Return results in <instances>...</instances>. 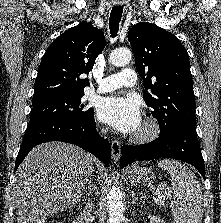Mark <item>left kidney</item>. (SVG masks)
I'll return each mask as SVG.
<instances>
[{
	"label": "left kidney",
	"instance_id": "obj_1",
	"mask_svg": "<svg viewBox=\"0 0 221 223\" xmlns=\"http://www.w3.org/2000/svg\"><path fill=\"white\" fill-rule=\"evenodd\" d=\"M150 223H166L163 219L157 217V216H149Z\"/></svg>",
	"mask_w": 221,
	"mask_h": 223
}]
</instances>
